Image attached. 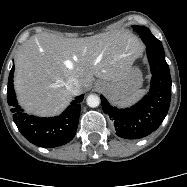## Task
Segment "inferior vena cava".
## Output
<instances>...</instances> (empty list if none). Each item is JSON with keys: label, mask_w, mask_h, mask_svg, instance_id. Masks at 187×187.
Wrapping results in <instances>:
<instances>
[{"label": "inferior vena cava", "mask_w": 187, "mask_h": 187, "mask_svg": "<svg viewBox=\"0 0 187 187\" xmlns=\"http://www.w3.org/2000/svg\"><path fill=\"white\" fill-rule=\"evenodd\" d=\"M66 88L68 91H70L71 93L75 95L80 90V83L77 79L72 78L67 82Z\"/></svg>", "instance_id": "inferior-vena-cava-1"}]
</instances>
